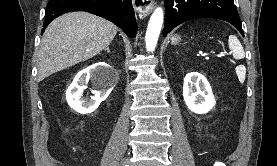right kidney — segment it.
I'll list each match as a JSON object with an SVG mask.
<instances>
[{"label": "right kidney", "mask_w": 277, "mask_h": 166, "mask_svg": "<svg viewBox=\"0 0 277 166\" xmlns=\"http://www.w3.org/2000/svg\"><path fill=\"white\" fill-rule=\"evenodd\" d=\"M91 77L97 78L99 90L93 92L90 99L83 98L84 84ZM116 83L115 75L106 63H98L80 71L66 91V100L76 112L88 114L95 111L100 103L111 93Z\"/></svg>", "instance_id": "obj_1"}]
</instances>
